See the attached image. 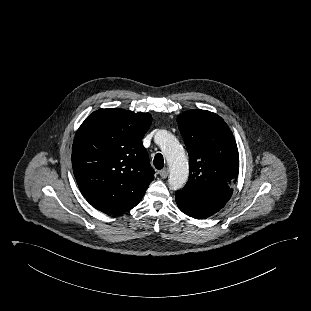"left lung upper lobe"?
Masks as SVG:
<instances>
[{"instance_id": "left-lung-upper-lobe-1", "label": "left lung upper lobe", "mask_w": 311, "mask_h": 311, "mask_svg": "<svg viewBox=\"0 0 311 311\" xmlns=\"http://www.w3.org/2000/svg\"><path fill=\"white\" fill-rule=\"evenodd\" d=\"M177 123L189 160L184 188L208 198L228 202L239 173L236 141L224 120L205 110L179 114Z\"/></svg>"}]
</instances>
